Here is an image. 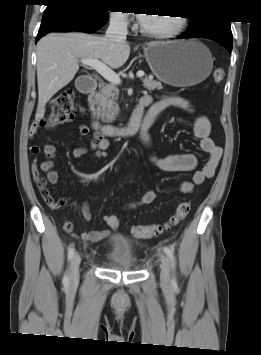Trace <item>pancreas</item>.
Returning a JSON list of instances; mask_svg holds the SVG:
<instances>
[{"label": "pancreas", "instance_id": "1", "mask_svg": "<svg viewBox=\"0 0 261 355\" xmlns=\"http://www.w3.org/2000/svg\"><path fill=\"white\" fill-rule=\"evenodd\" d=\"M143 86L149 91L163 88L161 82L149 78L143 80ZM118 94L119 90L114 84H106L101 86L99 92L92 99H89L93 111L102 122L111 123L115 120L119 111Z\"/></svg>", "mask_w": 261, "mask_h": 355}]
</instances>
